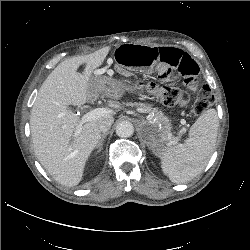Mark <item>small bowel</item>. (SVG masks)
I'll use <instances>...</instances> for the list:
<instances>
[{"label":"small bowel","mask_w":250,"mask_h":250,"mask_svg":"<svg viewBox=\"0 0 250 250\" xmlns=\"http://www.w3.org/2000/svg\"><path fill=\"white\" fill-rule=\"evenodd\" d=\"M113 66L121 73L143 77L155 75L163 82L173 80L177 72L191 91H196L200 85L199 66L177 48L124 44L115 50Z\"/></svg>","instance_id":"small-bowel-1"}]
</instances>
